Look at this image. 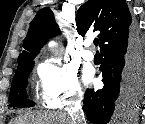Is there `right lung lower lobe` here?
I'll return each instance as SVG.
<instances>
[{"label":"right lung lower lobe","mask_w":145,"mask_h":124,"mask_svg":"<svg viewBox=\"0 0 145 124\" xmlns=\"http://www.w3.org/2000/svg\"><path fill=\"white\" fill-rule=\"evenodd\" d=\"M100 50L104 87L88 89L83 106L94 124H106L116 113L133 116L145 93V40L136 27L111 37Z\"/></svg>","instance_id":"1"}]
</instances>
